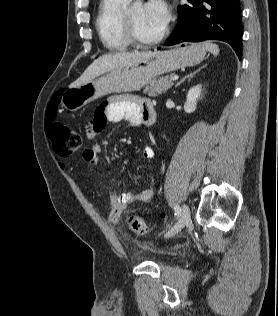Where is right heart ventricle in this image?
I'll list each match as a JSON object with an SVG mask.
<instances>
[{
	"label": "right heart ventricle",
	"instance_id": "e07e8e85",
	"mask_svg": "<svg viewBox=\"0 0 278 316\" xmlns=\"http://www.w3.org/2000/svg\"><path fill=\"white\" fill-rule=\"evenodd\" d=\"M128 1H100L96 16V29L101 43L110 51H122L130 45L123 22L124 7Z\"/></svg>",
	"mask_w": 278,
	"mask_h": 316
}]
</instances>
